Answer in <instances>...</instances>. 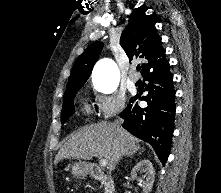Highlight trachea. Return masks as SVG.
Wrapping results in <instances>:
<instances>
[{
    "mask_svg": "<svg viewBox=\"0 0 221 193\" xmlns=\"http://www.w3.org/2000/svg\"><path fill=\"white\" fill-rule=\"evenodd\" d=\"M136 69H137V70H140V69H141V67H140V66H137V67H136Z\"/></svg>",
    "mask_w": 221,
    "mask_h": 193,
    "instance_id": "1",
    "label": "trachea"
}]
</instances>
